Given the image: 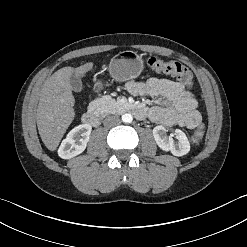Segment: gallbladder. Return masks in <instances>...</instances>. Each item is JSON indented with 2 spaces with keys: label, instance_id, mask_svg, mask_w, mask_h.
I'll use <instances>...</instances> for the list:
<instances>
[{
  "label": "gallbladder",
  "instance_id": "bac80fb5",
  "mask_svg": "<svg viewBox=\"0 0 247 247\" xmlns=\"http://www.w3.org/2000/svg\"><path fill=\"white\" fill-rule=\"evenodd\" d=\"M70 84H71V89L74 92H80L83 88L82 81L80 77L76 74H72V76L70 77Z\"/></svg>",
  "mask_w": 247,
  "mask_h": 247
}]
</instances>
